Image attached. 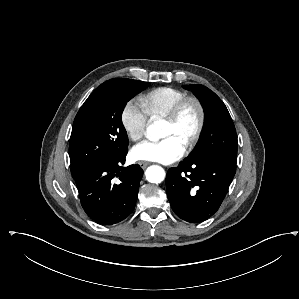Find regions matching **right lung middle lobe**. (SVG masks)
I'll list each match as a JSON object with an SVG mask.
<instances>
[{"label":"right lung middle lobe","instance_id":"1","mask_svg":"<svg viewBox=\"0 0 299 299\" xmlns=\"http://www.w3.org/2000/svg\"><path fill=\"white\" fill-rule=\"evenodd\" d=\"M148 85L132 79H111L87 98L75 117L70 137L69 156L74 179L127 151L128 137L121 114L126 103Z\"/></svg>","mask_w":299,"mask_h":299}]
</instances>
